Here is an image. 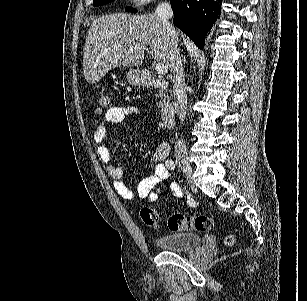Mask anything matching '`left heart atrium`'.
Masks as SVG:
<instances>
[{
    "label": "left heart atrium",
    "instance_id": "1",
    "mask_svg": "<svg viewBox=\"0 0 307 301\" xmlns=\"http://www.w3.org/2000/svg\"><path fill=\"white\" fill-rule=\"evenodd\" d=\"M156 62H174V61H156Z\"/></svg>",
    "mask_w": 307,
    "mask_h": 301
}]
</instances>
